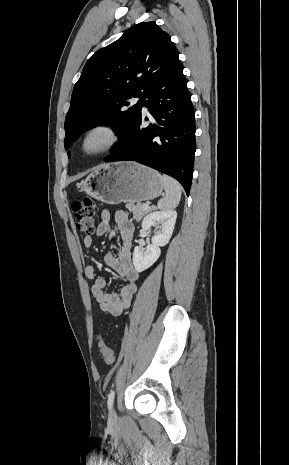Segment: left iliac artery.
Instances as JSON below:
<instances>
[{"mask_svg":"<svg viewBox=\"0 0 289 465\" xmlns=\"http://www.w3.org/2000/svg\"><path fill=\"white\" fill-rule=\"evenodd\" d=\"M114 396H115V391L114 390H111L109 395H108V408L111 409L112 405H113V401H114Z\"/></svg>","mask_w":289,"mask_h":465,"instance_id":"left-iliac-artery-1","label":"left iliac artery"}]
</instances>
